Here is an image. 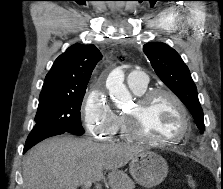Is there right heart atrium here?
<instances>
[{
	"label": "right heart atrium",
	"instance_id": "right-heart-atrium-1",
	"mask_svg": "<svg viewBox=\"0 0 223 189\" xmlns=\"http://www.w3.org/2000/svg\"><path fill=\"white\" fill-rule=\"evenodd\" d=\"M81 114L90 135L104 141L111 140L118 118L104 91L98 87L90 89L83 100Z\"/></svg>",
	"mask_w": 223,
	"mask_h": 189
}]
</instances>
